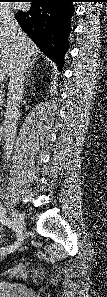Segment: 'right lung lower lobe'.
Returning a JSON list of instances; mask_svg holds the SVG:
<instances>
[{
  "mask_svg": "<svg viewBox=\"0 0 107 297\" xmlns=\"http://www.w3.org/2000/svg\"><path fill=\"white\" fill-rule=\"evenodd\" d=\"M74 0H32L28 12H18L20 27L54 62L63 67L64 54L69 47L70 20Z\"/></svg>",
  "mask_w": 107,
  "mask_h": 297,
  "instance_id": "98d812e1",
  "label": "right lung lower lobe"
}]
</instances>
